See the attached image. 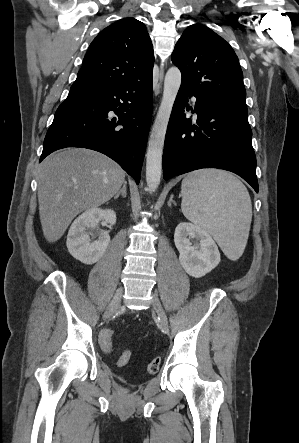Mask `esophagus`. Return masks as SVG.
<instances>
[{"label": "esophagus", "instance_id": "obj_1", "mask_svg": "<svg viewBox=\"0 0 299 443\" xmlns=\"http://www.w3.org/2000/svg\"><path fill=\"white\" fill-rule=\"evenodd\" d=\"M162 80H163V69L161 68L160 72H159V83L160 84L162 83Z\"/></svg>", "mask_w": 299, "mask_h": 443}]
</instances>
